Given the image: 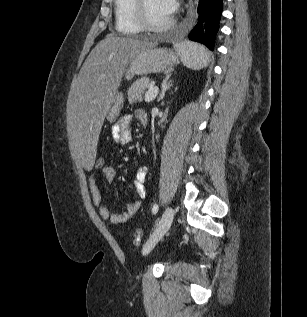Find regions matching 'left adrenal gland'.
I'll use <instances>...</instances> for the list:
<instances>
[{
	"label": "left adrenal gland",
	"instance_id": "left-adrenal-gland-1",
	"mask_svg": "<svg viewBox=\"0 0 307 317\" xmlns=\"http://www.w3.org/2000/svg\"><path fill=\"white\" fill-rule=\"evenodd\" d=\"M170 79V75H168L162 82L161 84V93L159 95V98H158V102L163 100V98L165 97V93L166 91L173 85L172 84V81L169 80Z\"/></svg>",
	"mask_w": 307,
	"mask_h": 317
}]
</instances>
